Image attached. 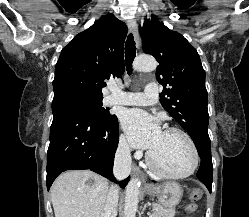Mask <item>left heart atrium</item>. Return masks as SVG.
Masks as SVG:
<instances>
[{"label": "left heart atrium", "instance_id": "obj_1", "mask_svg": "<svg viewBox=\"0 0 249 217\" xmlns=\"http://www.w3.org/2000/svg\"><path fill=\"white\" fill-rule=\"evenodd\" d=\"M122 127L130 144L136 148H155L163 133L158 122L140 109L127 110L122 116Z\"/></svg>", "mask_w": 249, "mask_h": 217}]
</instances>
